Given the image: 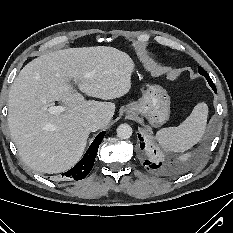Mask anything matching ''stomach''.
<instances>
[{
  "label": "stomach",
  "instance_id": "stomach-1",
  "mask_svg": "<svg viewBox=\"0 0 233 233\" xmlns=\"http://www.w3.org/2000/svg\"><path fill=\"white\" fill-rule=\"evenodd\" d=\"M142 97L126 107L128 115L145 116L151 125L157 127L165 123L170 115V96L158 84H147Z\"/></svg>",
  "mask_w": 233,
  "mask_h": 233
}]
</instances>
